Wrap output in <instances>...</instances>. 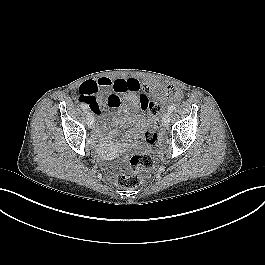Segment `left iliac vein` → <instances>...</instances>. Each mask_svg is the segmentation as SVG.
Returning <instances> with one entry per match:
<instances>
[{
	"instance_id": "obj_1",
	"label": "left iliac vein",
	"mask_w": 265,
	"mask_h": 265,
	"mask_svg": "<svg viewBox=\"0 0 265 265\" xmlns=\"http://www.w3.org/2000/svg\"><path fill=\"white\" fill-rule=\"evenodd\" d=\"M169 123H170V113L169 112H166L164 115H163V118H162V125L167 128L169 126Z\"/></svg>"
}]
</instances>
